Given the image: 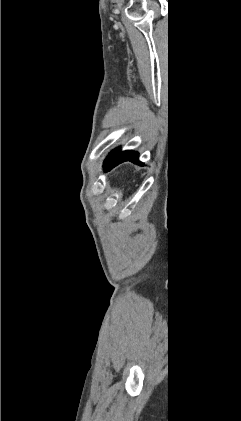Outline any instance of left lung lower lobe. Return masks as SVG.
<instances>
[{
  "label": "left lung lower lobe",
  "mask_w": 241,
  "mask_h": 421,
  "mask_svg": "<svg viewBox=\"0 0 241 421\" xmlns=\"http://www.w3.org/2000/svg\"><path fill=\"white\" fill-rule=\"evenodd\" d=\"M139 158V154L137 152H132V151H123L120 152L118 149L112 151L109 156L106 158L105 160V171H108L110 169H112L113 167H115L116 165L124 162V161H131L134 163H140L138 161Z\"/></svg>",
  "instance_id": "0a47b994"
}]
</instances>
